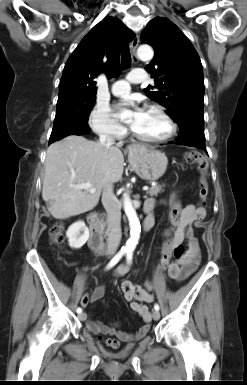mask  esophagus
<instances>
[{
	"label": "esophagus",
	"mask_w": 247,
	"mask_h": 385,
	"mask_svg": "<svg viewBox=\"0 0 247 385\" xmlns=\"http://www.w3.org/2000/svg\"><path fill=\"white\" fill-rule=\"evenodd\" d=\"M139 41H140L139 35H136L135 38L132 40L131 45H130L131 52H132V59L134 62L138 61V58L136 55V49L138 47Z\"/></svg>",
	"instance_id": "obj_1"
}]
</instances>
